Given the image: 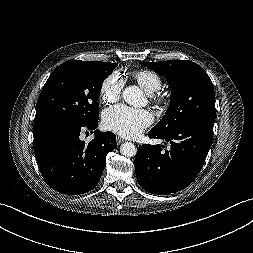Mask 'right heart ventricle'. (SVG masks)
I'll return each mask as SVG.
<instances>
[{
	"label": "right heart ventricle",
	"instance_id": "e07e8e85",
	"mask_svg": "<svg viewBox=\"0 0 253 253\" xmlns=\"http://www.w3.org/2000/svg\"><path fill=\"white\" fill-rule=\"evenodd\" d=\"M135 80L149 94L156 92L162 85L161 77L158 73L150 69H142L134 73Z\"/></svg>",
	"mask_w": 253,
	"mask_h": 253
}]
</instances>
